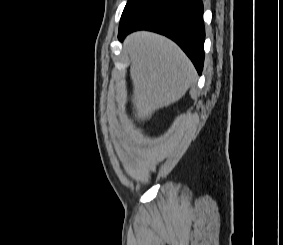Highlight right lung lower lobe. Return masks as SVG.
Here are the masks:
<instances>
[{
    "label": "right lung lower lobe",
    "instance_id": "right-lung-lower-lobe-1",
    "mask_svg": "<svg viewBox=\"0 0 283 245\" xmlns=\"http://www.w3.org/2000/svg\"><path fill=\"white\" fill-rule=\"evenodd\" d=\"M141 29L171 38L201 74L205 40L202 0H151L127 21L120 23L118 38L123 40L130 32Z\"/></svg>",
    "mask_w": 283,
    "mask_h": 245
}]
</instances>
